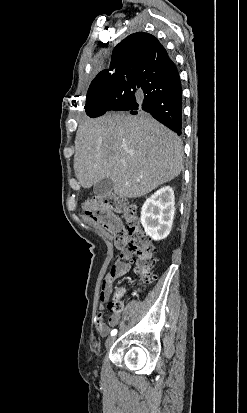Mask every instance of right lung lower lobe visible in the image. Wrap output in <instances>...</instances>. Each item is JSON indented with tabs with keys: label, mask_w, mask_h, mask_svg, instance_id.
Wrapping results in <instances>:
<instances>
[{
	"label": "right lung lower lobe",
	"mask_w": 247,
	"mask_h": 413,
	"mask_svg": "<svg viewBox=\"0 0 247 413\" xmlns=\"http://www.w3.org/2000/svg\"><path fill=\"white\" fill-rule=\"evenodd\" d=\"M124 82L128 88L125 94L108 98L88 116L95 118L109 111L146 113L181 135L182 88L172 60L160 71L130 74Z\"/></svg>",
	"instance_id": "1"
}]
</instances>
